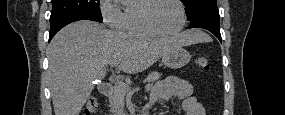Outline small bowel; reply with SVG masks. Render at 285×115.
<instances>
[{
    "label": "small bowel",
    "instance_id": "small-bowel-1",
    "mask_svg": "<svg viewBox=\"0 0 285 115\" xmlns=\"http://www.w3.org/2000/svg\"><path fill=\"white\" fill-rule=\"evenodd\" d=\"M193 85L190 81L177 77H168L158 82L152 92L150 104L181 99L183 110L187 115H205V109L192 95Z\"/></svg>",
    "mask_w": 285,
    "mask_h": 115
}]
</instances>
